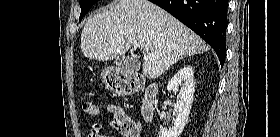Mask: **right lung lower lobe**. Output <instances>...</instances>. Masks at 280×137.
<instances>
[{
  "label": "right lung lower lobe",
  "instance_id": "1",
  "mask_svg": "<svg viewBox=\"0 0 280 137\" xmlns=\"http://www.w3.org/2000/svg\"><path fill=\"white\" fill-rule=\"evenodd\" d=\"M203 38L216 52L221 66L226 57L227 0H149Z\"/></svg>",
  "mask_w": 280,
  "mask_h": 137
}]
</instances>
